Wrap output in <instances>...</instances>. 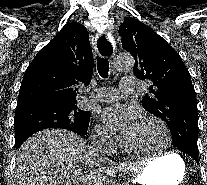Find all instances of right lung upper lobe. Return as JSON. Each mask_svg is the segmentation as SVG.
<instances>
[{"instance_id": "right-lung-upper-lobe-1", "label": "right lung upper lobe", "mask_w": 207, "mask_h": 185, "mask_svg": "<svg viewBox=\"0 0 207 185\" xmlns=\"http://www.w3.org/2000/svg\"><path fill=\"white\" fill-rule=\"evenodd\" d=\"M93 54L87 29L67 23L35 56L21 83L16 110L35 106L76 107L79 85H89Z\"/></svg>"}]
</instances>
